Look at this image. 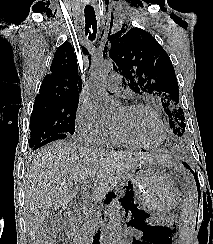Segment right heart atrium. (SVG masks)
Returning <instances> with one entry per match:
<instances>
[{
	"instance_id": "obj_1",
	"label": "right heart atrium",
	"mask_w": 213,
	"mask_h": 244,
	"mask_svg": "<svg viewBox=\"0 0 213 244\" xmlns=\"http://www.w3.org/2000/svg\"><path fill=\"white\" fill-rule=\"evenodd\" d=\"M112 130L108 121L103 119L90 103H81L76 112L75 137L88 144L104 143Z\"/></svg>"
}]
</instances>
